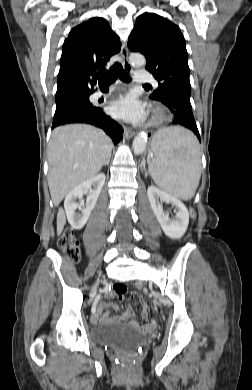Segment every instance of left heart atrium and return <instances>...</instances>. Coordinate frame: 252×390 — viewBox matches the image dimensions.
I'll use <instances>...</instances> for the list:
<instances>
[{
    "label": "left heart atrium",
    "instance_id": "obj_1",
    "mask_svg": "<svg viewBox=\"0 0 252 390\" xmlns=\"http://www.w3.org/2000/svg\"><path fill=\"white\" fill-rule=\"evenodd\" d=\"M111 114L119 119L132 123H139L146 119L145 104L134 94H127L112 102Z\"/></svg>",
    "mask_w": 252,
    "mask_h": 390
}]
</instances>
